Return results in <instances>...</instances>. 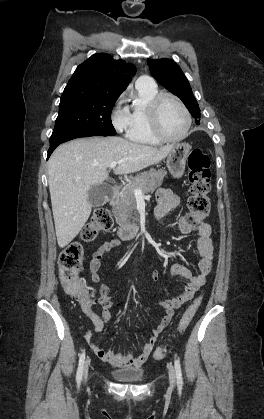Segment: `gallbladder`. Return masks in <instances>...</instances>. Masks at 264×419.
Wrapping results in <instances>:
<instances>
[{
  "instance_id": "obj_1",
  "label": "gallbladder",
  "mask_w": 264,
  "mask_h": 419,
  "mask_svg": "<svg viewBox=\"0 0 264 419\" xmlns=\"http://www.w3.org/2000/svg\"><path fill=\"white\" fill-rule=\"evenodd\" d=\"M110 193V186L106 184L94 185L88 192V200L92 206H101L106 200Z\"/></svg>"
}]
</instances>
